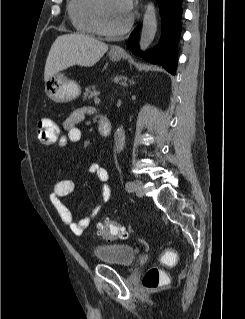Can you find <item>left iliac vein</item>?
<instances>
[{"label":"left iliac vein","mask_w":245,"mask_h":319,"mask_svg":"<svg viewBox=\"0 0 245 319\" xmlns=\"http://www.w3.org/2000/svg\"><path fill=\"white\" fill-rule=\"evenodd\" d=\"M134 192L138 197H143L144 190H143V184L141 181H134Z\"/></svg>","instance_id":"1"}]
</instances>
